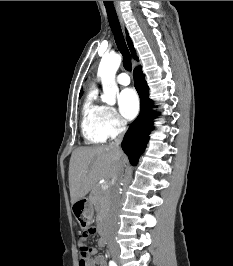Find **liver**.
Returning <instances> with one entry per match:
<instances>
[{"mask_svg":"<svg viewBox=\"0 0 233 266\" xmlns=\"http://www.w3.org/2000/svg\"><path fill=\"white\" fill-rule=\"evenodd\" d=\"M127 163L126 155L111 145L75 149L69 163L71 203L84 198L101 179L115 180Z\"/></svg>","mask_w":233,"mask_h":266,"instance_id":"6515ba94","label":"liver"}]
</instances>
